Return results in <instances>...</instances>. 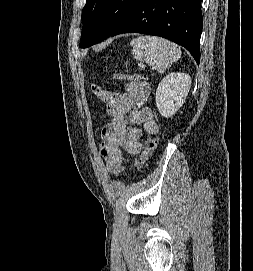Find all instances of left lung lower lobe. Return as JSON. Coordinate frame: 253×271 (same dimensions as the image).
I'll return each mask as SVG.
<instances>
[{
    "mask_svg": "<svg viewBox=\"0 0 253 271\" xmlns=\"http://www.w3.org/2000/svg\"><path fill=\"white\" fill-rule=\"evenodd\" d=\"M129 32L169 39L185 47L199 64L201 0H133L129 13L110 36Z\"/></svg>",
    "mask_w": 253,
    "mask_h": 271,
    "instance_id": "obj_1",
    "label": "left lung lower lobe"
}]
</instances>
